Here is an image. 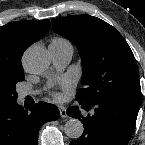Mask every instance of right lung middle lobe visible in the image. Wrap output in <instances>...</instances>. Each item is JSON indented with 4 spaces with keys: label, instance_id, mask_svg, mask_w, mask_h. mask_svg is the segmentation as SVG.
<instances>
[{
    "label": "right lung middle lobe",
    "instance_id": "obj_1",
    "mask_svg": "<svg viewBox=\"0 0 145 145\" xmlns=\"http://www.w3.org/2000/svg\"><path fill=\"white\" fill-rule=\"evenodd\" d=\"M24 78V72H21L6 84L0 85V102L16 101L18 97L15 91L16 83L23 81Z\"/></svg>",
    "mask_w": 145,
    "mask_h": 145
}]
</instances>
